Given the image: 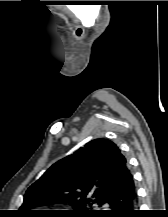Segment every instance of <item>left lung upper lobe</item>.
<instances>
[{
	"mask_svg": "<svg viewBox=\"0 0 168 217\" xmlns=\"http://www.w3.org/2000/svg\"><path fill=\"white\" fill-rule=\"evenodd\" d=\"M132 178L125 157L106 139L88 142L73 154L53 164L25 193L20 210L27 214L38 206L69 203L74 217H91L100 211L89 210L124 187Z\"/></svg>",
	"mask_w": 168,
	"mask_h": 217,
	"instance_id": "1",
	"label": "left lung upper lobe"
}]
</instances>
